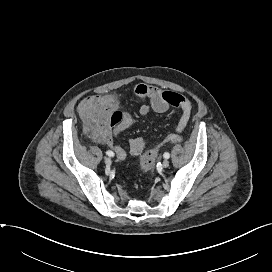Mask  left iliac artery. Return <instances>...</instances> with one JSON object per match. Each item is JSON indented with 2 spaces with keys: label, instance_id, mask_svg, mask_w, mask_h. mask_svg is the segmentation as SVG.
I'll return each instance as SVG.
<instances>
[{
  "label": "left iliac artery",
  "instance_id": "44dca946",
  "mask_svg": "<svg viewBox=\"0 0 272 272\" xmlns=\"http://www.w3.org/2000/svg\"><path fill=\"white\" fill-rule=\"evenodd\" d=\"M163 156L165 159H168L170 157V154L168 152H165Z\"/></svg>",
  "mask_w": 272,
  "mask_h": 272
}]
</instances>
